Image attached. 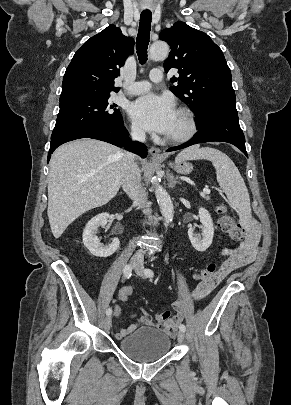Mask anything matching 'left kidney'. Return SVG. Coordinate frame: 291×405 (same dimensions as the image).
I'll return each mask as SVG.
<instances>
[{"label": "left kidney", "instance_id": "1", "mask_svg": "<svg viewBox=\"0 0 291 405\" xmlns=\"http://www.w3.org/2000/svg\"><path fill=\"white\" fill-rule=\"evenodd\" d=\"M202 233L196 234L194 228H189L188 237L192 246L200 252L206 251L212 244L214 226L210 213L205 208H199Z\"/></svg>", "mask_w": 291, "mask_h": 405}]
</instances>
